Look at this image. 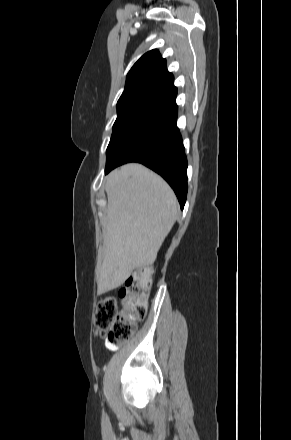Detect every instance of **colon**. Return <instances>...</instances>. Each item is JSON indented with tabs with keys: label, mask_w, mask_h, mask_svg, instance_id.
I'll use <instances>...</instances> for the list:
<instances>
[{
	"label": "colon",
	"mask_w": 291,
	"mask_h": 440,
	"mask_svg": "<svg viewBox=\"0 0 291 440\" xmlns=\"http://www.w3.org/2000/svg\"><path fill=\"white\" fill-rule=\"evenodd\" d=\"M150 285V268H145L119 289L121 310L115 297L101 300L94 317L96 333L112 343L127 342L138 322L146 316V299Z\"/></svg>",
	"instance_id": "colon-1"
}]
</instances>
